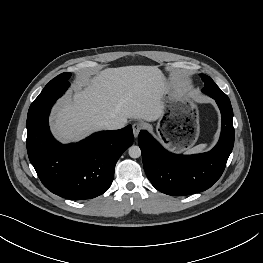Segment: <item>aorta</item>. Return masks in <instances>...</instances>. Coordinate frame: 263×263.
Instances as JSON below:
<instances>
[{
    "mask_svg": "<svg viewBox=\"0 0 263 263\" xmlns=\"http://www.w3.org/2000/svg\"><path fill=\"white\" fill-rule=\"evenodd\" d=\"M131 158H139L141 156V149L139 146L132 145L128 149Z\"/></svg>",
    "mask_w": 263,
    "mask_h": 263,
    "instance_id": "762f6f07",
    "label": "aorta"
}]
</instances>
